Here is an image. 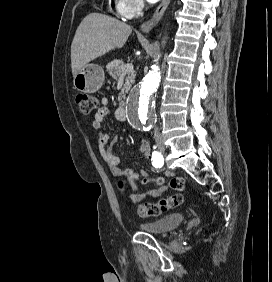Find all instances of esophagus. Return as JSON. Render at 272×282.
<instances>
[{
	"label": "esophagus",
	"mask_w": 272,
	"mask_h": 282,
	"mask_svg": "<svg viewBox=\"0 0 272 282\" xmlns=\"http://www.w3.org/2000/svg\"><path fill=\"white\" fill-rule=\"evenodd\" d=\"M171 0H162L161 3L159 4V6L157 7L155 13L153 14V16L151 17V19H149L148 21L144 22L140 29L142 32L144 33H148L149 31H151L156 24L161 20L166 8L168 7L169 3Z\"/></svg>",
	"instance_id": "1"
}]
</instances>
